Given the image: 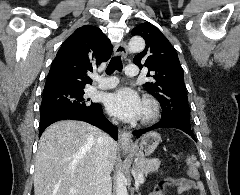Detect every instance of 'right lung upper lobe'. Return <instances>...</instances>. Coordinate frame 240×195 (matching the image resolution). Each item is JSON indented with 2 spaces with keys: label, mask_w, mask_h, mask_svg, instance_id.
Here are the masks:
<instances>
[{
  "label": "right lung upper lobe",
  "mask_w": 240,
  "mask_h": 195,
  "mask_svg": "<svg viewBox=\"0 0 240 195\" xmlns=\"http://www.w3.org/2000/svg\"><path fill=\"white\" fill-rule=\"evenodd\" d=\"M113 46L102 31L84 25L66 39L51 65L43 95L83 88L91 83L87 72L109 60Z\"/></svg>",
  "instance_id": "right-lung-upper-lobe-1"
}]
</instances>
